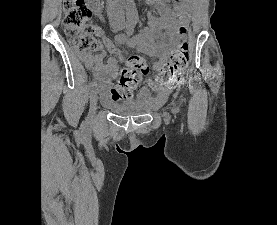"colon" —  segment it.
<instances>
[{
    "label": "colon",
    "instance_id": "1",
    "mask_svg": "<svg viewBox=\"0 0 277 225\" xmlns=\"http://www.w3.org/2000/svg\"><path fill=\"white\" fill-rule=\"evenodd\" d=\"M97 1V0H96ZM63 25L70 38L71 46L78 52H90L101 48L100 42L94 37L96 28L91 23L92 12L85 0H64ZM185 28H179L183 35ZM189 61V46L185 40H180L172 50L168 62L161 68L158 81L166 84H175L180 79L182 71ZM147 61L139 55L129 56L122 69L120 79L111 89V98L114 101H123L132 98L142 75L147 72Z\"/></svg>",
    "mask_w": 277,
    "mask_h": 225
}]
</instances>
